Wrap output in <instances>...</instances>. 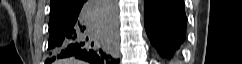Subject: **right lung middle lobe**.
Listing matches in <instances>:
<instances>
[{"label":"right lung middle lobe","instance_id":"dd1d6c3e","mask_svg":"<svg viewBox=\"0 0 242 64\" xmlns=\"http://www.w3.org/2000/svg\"><path fill=\"white\" fill-rule=\"evenodd\" d=\"M66 14H50L49 25H52L57 19L64 17Z\"/></svg>","mask_w":242,"mask_h":64}]
</instances>
